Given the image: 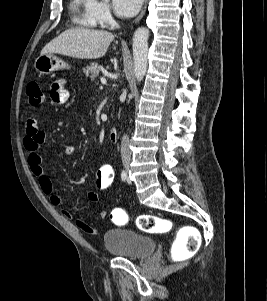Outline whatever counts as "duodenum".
Segmentation results:
<instances>
[{"label":"duodenum","instance_id":"1","mask_svg":"<svg viewBox=\"0 0 267 301\" xmlns=\"http://www.w3.org/2000/svg\"><path fill=\"white\" fill-rule=\"evenodd\" d=\"M117 138H118V130L115 129V128L110 129V131H109V140L111 142H114V141L117 140Z\"/></svg>","mask_w":267,"mask_h":301}]
</instances>
